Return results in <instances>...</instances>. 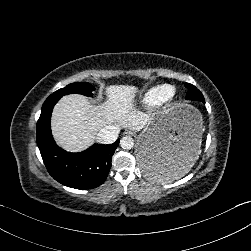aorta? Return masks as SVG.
Returning a JSON list of instances; mask_svg holds the SVG:
<instances>
[{
    "label": "aorta",
    "instance_id": "aorta-1",
    "mask_svg": "<svg viewBox=\"0 0 251 251\" xmlns=\"http://www.w3.org/2000/svg\"><path fill=\"white\" fill-rule=\"evenodd\" d=\"M133 145H134V140L131 136H123L121 139H120V146L123 148V149H126V150H129L131 148H133Z\"/></svg>",
    "mask_w": 251,
    "mask_h": 251
}]
</instances>
